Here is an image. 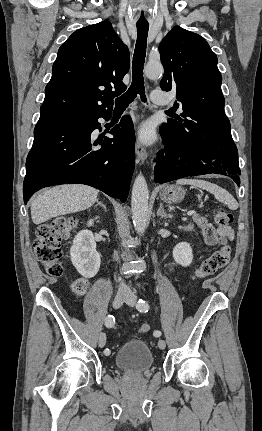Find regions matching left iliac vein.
Instances as JSON below:
<instances>
[{"mask_svg":"<svg viewBox=\"0 0 262 431\" xmlns=\"http://www.w3.org/2000/svg\"><path fill=\"white\" fill-rule=\"evenodd\" d=\"M125 303L131 307L136 304V296L133 293H129L125 299ZM158 347L163 350L166 348V342L163 339L158 341Z\"/></svg>","mask_w":262,"mask_h":431,"instance_id":"4c4485c4","label":"left iliac vein"}]
</instances>
